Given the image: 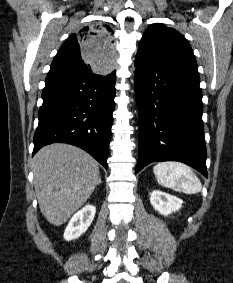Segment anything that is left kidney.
I'll return each instance as SVG.
<instances>
[{
    "mask_svg": "<svg viewBox=\"0 0 233 283\" xmlns=\"http://www.w3.org/2000/svg\"><path fill=\"white\" fill-rule=\"evenodd\" d=\"M150 203L153 208L164 216L178 211L182 207L183 201L176 196L155 190L151 193Z\"/></svg>",
    "mask_w": 233,
    "mask_h": 283,
    "instance_id": "left-kidney-1",
    "label": "left kidney"
}]
</instances>
